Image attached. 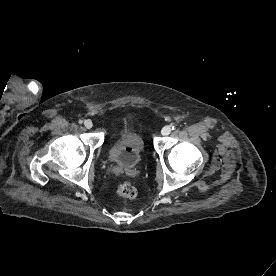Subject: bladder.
Masks as SVG:
<instances>
[{
    "label": "bladder",
    "mask_w": 276,
    "mask_h": 276,
    "mask_svg": "<svg viewBox=\"0 0 276 276\" xmlns=\"http://www.w3.org/2000/svg\"><path fill=\"white\" fill-rule=\"evenodd\" d=\"M145 149L143 139L132 131H124L109 149V158L114 163L126 167H135L142 159Z\"/></svg>",
    "instance_id": "obj_1"
}]
</instances>
